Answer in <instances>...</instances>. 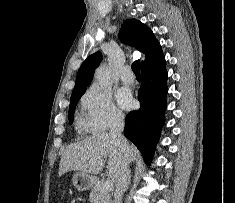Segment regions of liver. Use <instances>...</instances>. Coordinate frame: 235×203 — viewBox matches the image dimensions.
Masks as SVG:
<instances>
[{
    "label": "liver",
    "instance_id": "6515ba94",
    "mask_svg": "<svg viewBox=\"0 0 235 203\" xmlns=\"http://www.w3.org/2000/svg\"><path fill=\"white\" fill-rule=\"evenodd\" d=\"M129 162L134 161L137 149L128 143ZM108 158L106 174L115 184L121 173V167L125 160L119 142L109 133L95 134L80 142L69 145L61 155L59 176L76 170L87 174H99Z\"/></svg>",
    "mask_w": 235,
    "mask_h": 203
}]
</instances>
